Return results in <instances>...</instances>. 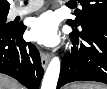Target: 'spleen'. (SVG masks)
Listing matches in <instances>:
<instances>
[{
    "label": "spleen",
    "mask_w": 107,
    "mask_h": 89,
    "mask_svg": "<svg viewBox=\"0 0 107 89\" xmlns=\"http://www.w3.org/2000/svg\"><path fill=\"white\" fill-rule=\"evenodd\" d=\"M69 88L70 89H106V86L101 84L82 83V84H73Z\"/></svg>",
    "instance_id": "1"
}]
</instances>
